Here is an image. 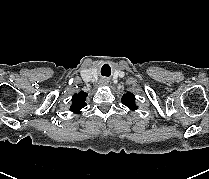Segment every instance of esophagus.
Listing matches in <instances>:
<instances>
[{
  "label": "esophagus",
  "instance_id": "1",
  "mask_svg": "<svg viewBox=\"0 0 209 179\" xmlns=\"http://www.w3.org/2000/svg\"><path fill=\"white\" fill-rule=\"evenodd\" d=\"M101 83H102V84H107V83H108V80H107V79H103V80L101 81Z\"/></svg>",
  "mask_w": 209,
  "mask_h": 179
}]
</instances>
